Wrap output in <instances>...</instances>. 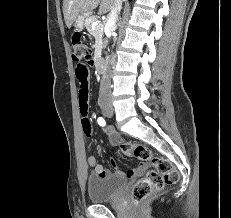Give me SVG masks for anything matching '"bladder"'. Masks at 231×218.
<instances>
[{
	"label": "bladder",
	"instance_id": "obj_1",
	"mask_svg": "<svg viewBox=\"0 0 231 218\" xmlns=\"http://www.w3.org/2000/svg\"><path fill=\"white\" fill-rule=\"evenodd\" d=\"M126 185V179L119 176L90 175L87 193L92 203H103L115 199Z\"/></svg>",
	"mask_w": 231,
	"mask_h": 218
}]
</instances>
